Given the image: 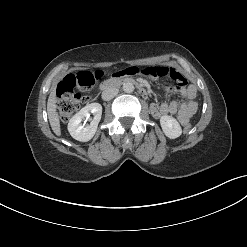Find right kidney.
<instances>
[{"label": "right kidney", "instance_id": "obj_1", "mask_svg": "<svg viewBox=\"0 0 247 247\" xmlns=\"http://www.w3.org/2000/svg\"><path fill=\"white\" fill-rule=\"evenodd\" d=\"M90 113L94 115L90 124L84 126L81 122L84 118H88ZM102 115V106L99 103H91L83 107L77 112L68 123V131L70 135L78 141L87 142L95 135L98 123Z\"/></svg>", "mask_w": 247, "mask_h": 247}]
</instances>
